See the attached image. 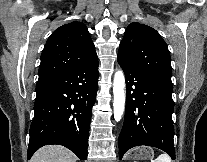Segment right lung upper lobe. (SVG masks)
Returning <instances> with one entry per match:
<instances>
[{
    "instance_id": "obj_1",
    "label": "right lung upper lobe",
    "mask_w": 207,
    "mask_h": 162,
    "mask_svg": "<svg viewBox=\"0 0 207 162\" xmlns=\"http://www.w3.org/2000/svg\"><path fill=\"white\" fill-rule=\"evenodd\" d=\"M97 59L94 44L82 22L65 24L49 37L41 55L39 79Z\"/></svg>"
}]
</instances>
